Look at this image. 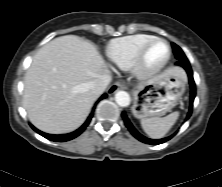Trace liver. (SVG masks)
I'll list each match as a JSON object with an SVG mask.
<instances>
[{"mask_svg":"<svg viewBox=\"0 0 222 187\" xmlns=\"http://www.w3.org/2000/svg\"><path fill=\"white\" fill-rule=\"evenodd\" d=\"M108 73L91 42L75 35L53 39L38 50L25 75L23 106L29 120L51 134L76 130L99 96L91 82Z\"/></svg>","mask_w":222,"mask_h":187,"instance_id":"obj_1","label":"liver"}]
</instances>
